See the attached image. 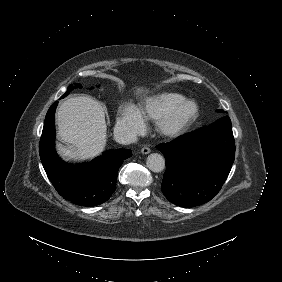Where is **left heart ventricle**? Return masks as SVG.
Instances as JSON below:
<instances>
[{
	"label": "left heart ventricle",
	"mask_w": 282,
	"mask_h": 282,
	"mask_svg": "<svg viewBox=\"0 0 282 282\" xmlns=\"http://www.w3.org/2000/svg\"><path fill=\"white\" fill-rule=\"evenodd\" d=\"M189 110H190V111H194L193 105L189 106Z\"/></svg>",
	"instance_id": "1"
}]
</instances>
